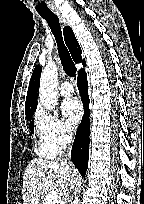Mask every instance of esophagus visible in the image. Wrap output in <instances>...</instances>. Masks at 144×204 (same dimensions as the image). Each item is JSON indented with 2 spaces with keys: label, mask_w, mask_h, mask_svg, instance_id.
<instances>
[{
  "label": "esophagus",
  "mask_w": 144,
  "mask_h": 204,
  "mask_svg": "<svg viewBox=\"0 0 144 204\" xmlns=\"http://www.w3.org/2000/svg\"><path fill=\"white\" fill-rule=\"evenodd\" d=\"M54 13L57 15V17L59 18L60 23L63 26H67L68 25L67 20L65 19V17L59 11H55Z\"/></svg>",
  "instance_id": "obj_1"
}]
</instances>
